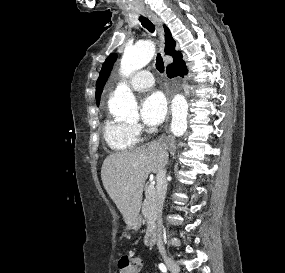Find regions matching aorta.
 <instances>
[{
    "mask_svg": "<svg viewBox=\"0 0 285 273\" xmlns=\"http://www.w3.org/2000/svg\"><path fill=\"white\" fill-rule=\"evenodd\" d=\"M155 46L152 42H138L125 48L120 72L129 76L133 72L146 66L153 58ZM171 130L175 136H182L187 128L188 104L183 95H175L172 100ZM110 113L120 119H133L138 117V106L133 94L123 84L120 85L108 101Z\"/></svg>",
    "mask_w": 285,
    "mask_h": 273,
    "instance_id": "obj_1",
    "label": "aorta"
}]
</instances>
